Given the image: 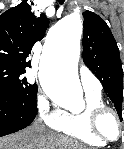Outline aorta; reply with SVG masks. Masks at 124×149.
Returning <instances> with one entry per match:
<instances>
[{"mask_svg":"<svg viewBox=\"0 0 124 149\" xmlns=\"http://www.w3.org/2000/svg\"><path fill=\"white\" fill-rule=\"evenodd\" d=\"M81 34L79 14L58 21L50 30L39 69V81L46 95L68 107L84 106L77 70Z\"/></svg>","mask_w":124,"mask_h":149,"instance_id":"1","label":"aorta"}]
</instances>
